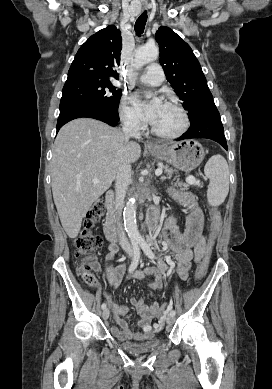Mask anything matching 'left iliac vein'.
Segmentation results:
<instances>
[{
	"label": "left iliac vein",
	"mask_w": 272,
	"mask_h": 389,
	"mask_svg": "<svg viewBox=\"0 0 272 389\" xmlns=\"http://www.w3.org/2000/svg\"><path fill=\"white\" fill-rule=\"evenodd\" d=\"M174 316H172V315H168L167 317H166V322H167V324L168 325H171V324H173L174 323Z\"/></svg>",
	"instance_id": "left-iliac-vein-1"
}]
</instances>
